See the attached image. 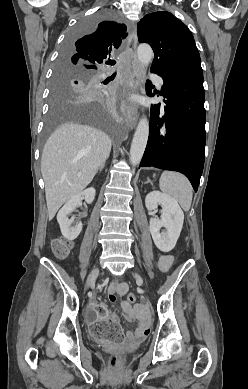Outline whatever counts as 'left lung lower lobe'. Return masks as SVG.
I'll list each match as a JSON object with an SVG mask.
<instances>
[{
  "mask_svg": "<svg viewBox=\"0 0 248 389\" xmlns=\"http://www.w3.org/2000/svg\"><path fill=\"white\" fill-rule=\"evenodd\" d=\"M151 71L163 78L160 95L166 100L163 108L160 103L151 108L149 138L139 167L181 172L197 191L205 156L203 73L190 70L163 76ZM152 88L147 81V95L153 96Z\"/></svg>",
  "mask_w": 248,
  "mask_h": 389,
  "instance_id": "0a47b994",
  "label": "left lung lower lobe"
}]
</instances>
